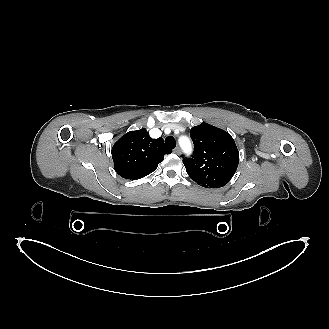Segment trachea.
<instances>
[{"instance_id": "3493384b", "label": "trachea", "mask_w": 329, "mask_h": 329, "mask_svg": "<svg viewBox=\"0 0 329 329\" xmlns=\"http://www.w3.org/2000/svg\"><path fill=\"white\" fill-rule=\"evenodd\" d=\"M165 143L166 145L171 148V149H174L175 146H176V142H175V139L172 137V136H168L166 139H165Z\"/></svg>"}]
</instances>
